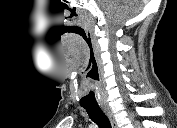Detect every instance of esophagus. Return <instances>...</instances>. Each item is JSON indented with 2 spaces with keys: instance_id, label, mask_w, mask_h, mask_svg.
Returning <instances> with one entry per match:
<instances>
[{
  "instance_id": "1",
  "label": "esophagus",
  "mask_w": 177,
  "mask_h": 128,
  "mask_svg": "<svg viewBox=\"0 0 177 128\" xmlns=\"http://www.w3.org/2000/svg\"><path fill=\"white\" fill-rule=\"evenodd\" d=\"M101 109L104 112V114L108 117L112 128H118L115 117L113 115V112L111 108L108 105H101Z\"/></svg>"
}]
</instances>
